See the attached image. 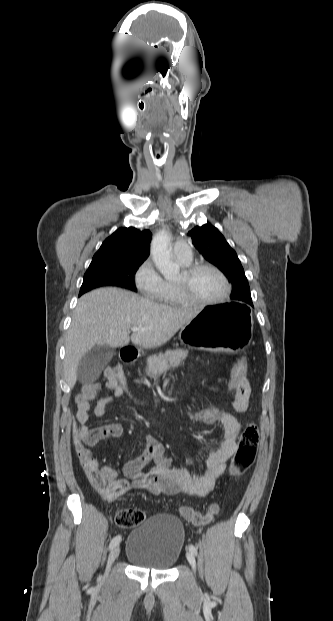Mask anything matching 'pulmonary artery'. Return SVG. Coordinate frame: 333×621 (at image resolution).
I'll list each match as a JSON object with an SVG mask.
<instances>
[{
  "label": "pulmonary artery",
  "instance_id": "pulmonary-artery-1",
  "mask_svg": "<svg viewBox=\"0 0 333 621\" xmlns=\"http://www.w3.org/2000/svg\"><path fill=\"white\" fill-rule=\"evenodd\" d=\"M173 253L177 259L183 262H191L192 260V249L187 240H178L173 246Z\"/></svg>",
  "mask_w": 333,
  "mask_h": 621
}]
</instances>
